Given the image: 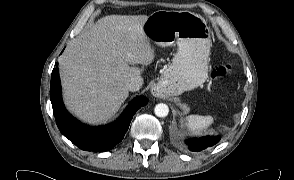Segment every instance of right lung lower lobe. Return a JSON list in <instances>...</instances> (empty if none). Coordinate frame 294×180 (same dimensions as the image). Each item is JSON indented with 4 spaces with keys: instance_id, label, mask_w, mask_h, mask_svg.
Instances as JSON below:
<instances>
[{
    "instance_id": "1",
    "label": "right lung lower lobe",
    "mask_w": 294,
    "mask_h": 180,
    "mask_svg": "<svg viewBox=\"0 0 294 180\" xmlns=\"http://www.w3.org/2000/svg\"><path fill=\"white\" fill-rule=\"evenodd\" d=\"M50 99L57 126L61 133L82 150L104 152L122 141L135 112L148 103L139 97L131 101L123 114L112 124L90 127L73 118L65 109L61 97L58 68L52 71Z\"/></svg>"
}]
</instances>
